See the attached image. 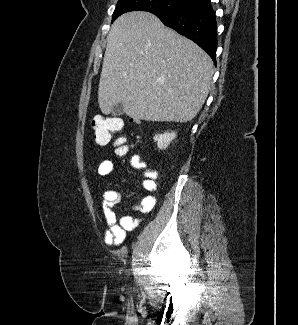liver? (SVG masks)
I'll return each mask as SVG.
<instances>
[{"mask_svg": "<svg viewBox=\"0 0 298 325\" xmlns=\"http://www.w3.org/2000/svg\"><path fill=\"white\" fill-rule=\"evenodd\" d=\"M213 62L193 40L144 10L111 24L98 84L103 114L123 102L131 118L188 122L204 104Z\"/></svg>", "mask_w": 298, "mask_h": 325, "instance_id": "obj_1", "label": "liver"}]
</instances>
